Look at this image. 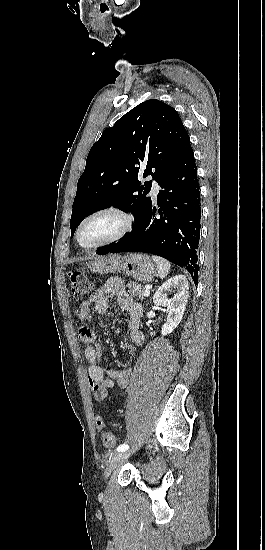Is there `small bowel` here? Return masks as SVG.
Instances as JSON below:
<instances>
[{
  "mask_svg": "<svg viewBox=\"0 0 265 550\" xmlns=\"http://www.w3.org/2000/svg\"><path fill=\"white\" fill-rule=\"evenodd\" d=\"M115 296L120 309L126 312L128 316L127 335L134 345H141L144 342L143 333L138 327L140 317L143 312L142 306L135 302L126 292L124 281L119 278L108 280L97 292L90 298L81 303L79 318L90 320L92 318L91 308L98 314L105 313L110 306L111 297ZM79 337L84 345V357L88 363V379L99 386L106 396L109 389L124 388L130 376V370L127 368L109 369L101 362V349L97 344V336L94 330L88 327H82ZM91 391L95 397L94 391Z\"/></svg>",
  "mask_w": 265,
  "mask_h": 550,
  "instance_id": "1",
  "label": "small bowel"
}]
</instances>
